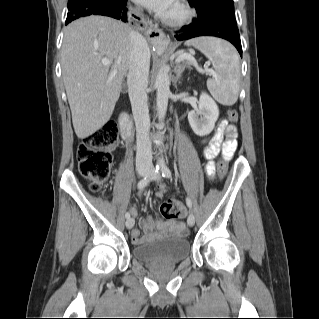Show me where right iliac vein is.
Instances as JSON below:
<instances>
[{
  "label": "right iliac vein",
  "mask_w": 319,
  "mask_h": 319,
  "mask_svg": "<svg viewBox=\"0 0 319 319\" xmlns=\"http://www.w3.org/2000/svg\"><path fill=\"white\" fill-rule=\"evenodd\" d=\"M139 174H140V176L145 177V176H147L148 171H147V169H141V170L139 171ZM133 226H134V219H133V218H128V219L126 220V227H127L128 229H131Z\"/></svg>",
  "instance_id": "right-iliac-vein-1"
}]
</instances>
